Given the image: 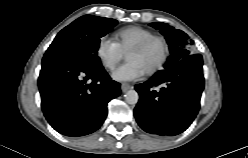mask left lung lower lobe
I'll use <instances>...</instances> for the list:
<instances>
[{"instance_id": "0a47b994", "label": "left lung lower lobe", "mask_w": 248, "mask_h": 158, "mask_svg": "<svg viewBox=\"0 0 248 158\" xmlns=\"http://www.w3.org/2000/svg\"><path fill=\"white\" fill-rule=\"evenodd\" d=\"M202 56H188L169 70L135 86L140 99L134 109L146 132L174 136L185 131L196 117L204 88ZM164 85L159 91L152 88Z\"/></svg>"}]
</instances>
